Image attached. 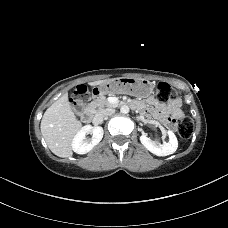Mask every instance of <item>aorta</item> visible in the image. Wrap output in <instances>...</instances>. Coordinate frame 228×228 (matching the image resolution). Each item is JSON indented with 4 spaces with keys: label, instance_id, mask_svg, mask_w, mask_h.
<instances>
[{
    "label": "aorta",
    "instance_id": "obj_1",
    "mask_svg": "<svg viewBox=\"0 0 228 228\" xmlns=\"http://www.w3.org/2000/svg\"><path fill=\"white\" fill-rule=\"evenodd\" d=\"M120 112L122 114H128L129 113V107L127 105H123L121 108H120Z\"/></svg>",
    "mask_w": 228,
    "mask_h": 228
}]
</instances>
